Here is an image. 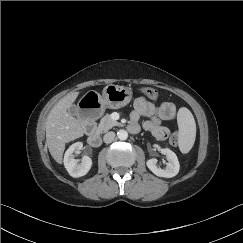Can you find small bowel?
Returning <instances> with one entry per match:
<instances>
[{
    "label": "small bowel",
    "mask_w": 243,
    "mask_h": 243,
    "mask_svg": "<svg viewBox=\"0 0 243 243\" xmlns=\"http://www.w3.org/2000/svg\"><path fill=\"white\" fill-rule=\"evenodd\" d=\"M176 107L171 102L154 104L145 97L135 100L134 111L131 114V132L138 131V119H145L144 129L150 131L158 140H166L169 137V130L161 125L162 121H172L176 118Z\"/></svg>",
    "instance_id": "obj_1"
}]
</instances>
